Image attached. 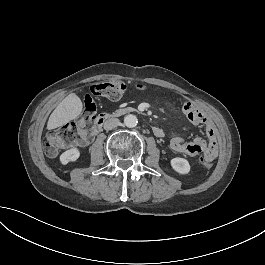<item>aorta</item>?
I'll list each match as a JSON object with an SVG mask.
<instances>
[{"mask_svg":"<svg viewBox=\"0 0 265 265\" xmlns=\"http://www.w3.org/2000/svg\"><path fill=\"white\" fill-rule=\"evenodd\" d=\"M138 119L135 115L129 114L124 117V124L126 127L133 128L137 125Z\"/></svg>","mask_w":265,"mask_h":265,"instance_id":"762f6f07","label":"aorta"}]
</instances>
